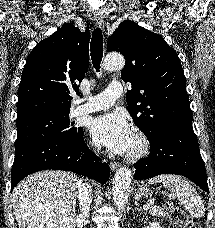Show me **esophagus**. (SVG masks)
<instances>
[{"mask_svg": "<svg viewBox=\"0 0 215 228\" xmlns=\"http://www.w3.org/2000/svg\"><path fill=\"white\" fill-rule=\"evenodd\" d=\"M94 21H95L96 27L101 28V29L104 28V17H103V15H101V14L95 15L94 16ZM110 168H111V170H116L117 164L116 163H111L110 164Z\"/></svg>", "mask_w": 215, "mask_h": 228, "instance_id": "34e87169", "label": "esophagus"}]
</instances>
